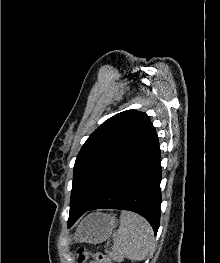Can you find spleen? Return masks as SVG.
Here are the masks:
<instances>
[{
	"label": "spleen",
	"instance_id": "obj_1",
	"mask_svg": "<svg viewBox=\"0 0 220 263\" xmlns=\"http://www.w3.org/2000/svg\"><path fill=\"white\" fill-rule=\"evenodd\" d=\"M153 242L151 225L138 214L122 211L113 252L130 260L141 261L152 250Z\"/></svg>",
	"mask_w": 220,
	"mask_h": 263
}]
</instances>
